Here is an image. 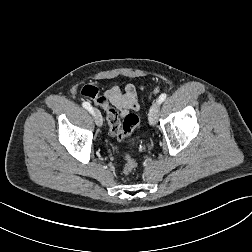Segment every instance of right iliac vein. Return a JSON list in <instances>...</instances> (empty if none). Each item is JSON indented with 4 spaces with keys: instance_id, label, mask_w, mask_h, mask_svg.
<instances>
[{
    "instance_id": "63e3f726",
    "label": "right iliac vein",
    "mask_w": 252,
    "mask_h": 252,
    "mask_svg": "<svg viewBox=\"0 0 252 252\" xmlns=\"http://www.w3.org/2000/svg\"><path fill=\"white\" fill-rule=\"evenodd\" d=\"M94 111V118H95V123L98 127H101L103 125V119L101 116V113L99 112V110L95 109Z\"/></svg>"
}]
</instances>
